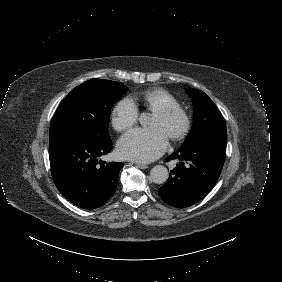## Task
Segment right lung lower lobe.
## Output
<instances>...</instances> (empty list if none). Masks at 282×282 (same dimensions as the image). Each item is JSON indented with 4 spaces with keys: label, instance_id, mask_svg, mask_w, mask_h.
I'll list each match as a JSON object with an SVG mask.
<instances>
[{
    "label": "right lung lower lobe",
    "instance_id": "obj_1",
    "mask_svg": "<svg viewBox=\"0 0 282 282\" xmlns=\"http://www.w3.org/2000/svg\"><path fill=\"white\" fill-rule=\"evenodd\" d=\"M112 147L110 138L85 133H71L50 142L52 177L64 197L84 209H95L108 201L116 190L123 163L99 166L98 158Z\"/></svg>",
    "mask_w": 282,
    "mask_h": 282
}]
</instances>
